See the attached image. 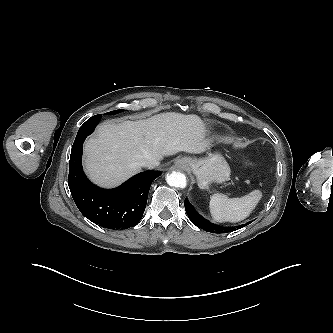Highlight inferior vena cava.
<instances>
[{"mask_svg":"<svg viewBox=\"0 0 333 333\" xmlns=\"http://www.w3.org/2000/svg\"><path fill=\"white\" fill-rule=\"evenodd\" d=\"M159 164H160L159 161L154 158H148V159L142 160L140 162L141 166L147 167V168H155V167L159 166Z\"/></svg>","mask_w":333,"mask_h":333,"instance_id":"obj_1","label":"inferior vena cava"}]
</instances>
